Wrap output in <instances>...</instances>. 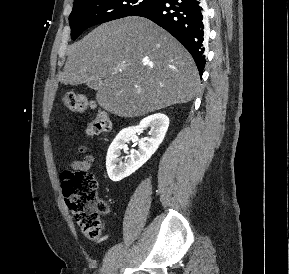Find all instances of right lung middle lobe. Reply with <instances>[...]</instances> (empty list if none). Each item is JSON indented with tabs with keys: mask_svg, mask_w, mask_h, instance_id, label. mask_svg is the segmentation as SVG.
<instances>
[{
	"mask_svg": "<svg viewBox=\"0 0 289 274\" xmlns=\"http://www.w3.org/2000/svg\"><path fill=\"white\" fill-rule=\"evenodd\" d=\"M155 0H75L69 17L75 40L87 28L111 20L136 15Z\"/></svg>",
	"mask_w": 289,
	"mask_h": 274,
	"instance_id": "right-lung-middle-lobe-1",
	"label": "right lung middle lobe"
}]
</instances>
